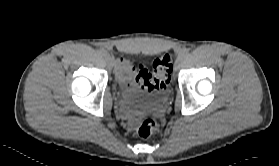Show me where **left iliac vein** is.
Returning a JSON list of instances; mask_svg holds the SVG:
<instances>
[{
    "label": "left iliac vein",
    "instance_id": "4c4485c4",
    "mask_svg": "<svg viewBox=\"0 0 279 166\" xmlns=\"http://www.w3.org/2000/svg\"><path fill=\"white\" fill-rule=\"evenodd\" d=\"M181 66V58H177V60L175 61V65H174V70L178 71L180 69Z\"/></svg>",
    "mask_w": 279,
    "mask_h": 166
}]
</instances>
